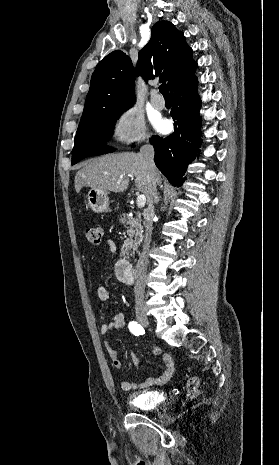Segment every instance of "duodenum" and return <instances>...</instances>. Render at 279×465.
<instances>
[{
    "mask_svg": "<svg viewBox=\"0 0 279 465\" xmlns=\"http://www.w3.org/2000/svg\"><path fill=\"white\" fill-rule=\"evenodd\" d=\"M117 277L118 279L128 285L133 284L134 276L129 262L125 259H122L117 264Z\"/></svg>",
    "mask_w": 279,
    "mask_h": 465,
    "instance_id": "410a0bca",
    "label": "duodenum"
}]
</instances>
